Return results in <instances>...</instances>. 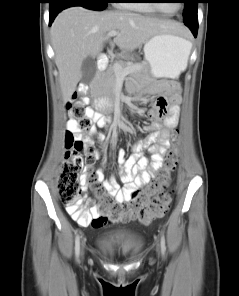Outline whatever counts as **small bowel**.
I'll use <instances>...</instances> for the list:
<instances>
[{
  "label": "small bowel",
  "mask_w": 239,
  "mask_h": 296,
  "mask_svg": "<svg viewBox=\"0 0 239 296\" xmlns=\"http://www.w3.org/2000/svg\"><path fill=\"white\" fill-rule=\"evenodd\" d=\"M169 94V106H167V101L164 97H159L149 110V115L153 117L155 121L145 126L144 129L149 132V135L144 140L134 144V154L126 158L124 151L121 150L118 153V163L124 187L121 188L114 177H110L106 180L104 171L102 169L98 170L100 181H104L107 192L119 203L131 200L136 190L149 183L152 175L163 167L164 156L170 148V134L178 124L180 111L178 84L170 83ZM138 98L139 95L136 96V99ZM133 110H137V108L133 107ZM88 116L96 121L97 124L102 119L100 114L89 109ZM68 129L76 136H79V131L74 121L68 122ZM92 134L98 139H102V134L98 132L97 129L93 128ZM145 148L151 153L150 159L142 154ZM82 185L83 190L87 189L88 182L85 177L82 178ZM88 212L90 214V220L79 221L68 211L72 218L77 220L82 226L91 225L94 228H100L107 224L105 220L98 222L100 213L96 207H91ZM121 219L123 221H129L134 218L131 215H124Z\"/></svg>",
  "instance_id": "c3829d8e"
}]
</instances>
